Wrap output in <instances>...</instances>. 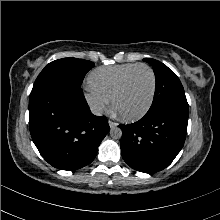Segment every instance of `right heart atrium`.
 <instances>
[{
	"label": "right heart atrium",
	"mask_w": 220,
	"mask_h": 220,
	"mask_svg": "<svg viewBox=\"0 0 220 220\" xmlns=\"http://www.w3.org/2000/svg\"><path fill=\"white\" fill-rule=\"evenodd\" d=\"M84 98L90 107L91 111L95 114H101L108 109L110 101L108 98L99 94L89 86L84 92Z\"/></svg>",
	"instance_id": "obj_1"
}]
</instances>
